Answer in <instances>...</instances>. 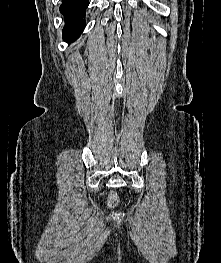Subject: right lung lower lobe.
Masks as SVG:
<instances>
[{
  "instance_id": "98d812e1",
  "label": "right lung lower lobe",
  "mask_w": 221,
  "mask_h": 263,
  "mask_svg": "<svg viewBox=\"0 0 221 263\" xmlns=\"http://www.w3.org/2000/svg\"><path fill=\"white\" fill-rule=\"evenodd\" d=\"M89 5V0H63L60 12L65 17L63 28V39L67 42L76 40L85 24V9Z\"/></svg>"
}]
</instances>
